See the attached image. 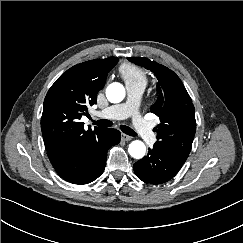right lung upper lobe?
<instances>
[{
  "instance_id": "1",
  "label": "right lung upper lobe",
  "mask_w": 243,
  "mask_h": 243,
  "mask_svg": "<svg viewBox=\"0 0 243 243\" xmlns=\"http://www.w3.org/2000/svg\"><path fill=\"white\" fill-rule=\"evenodd\" d=\"M117 62L116 57L83 62L68 69L51 86L41 117L47 153L80 147L103 130H85L79 119L86 115L88 104H96L97 93Z\"/></svg>"
}]
</instances>
